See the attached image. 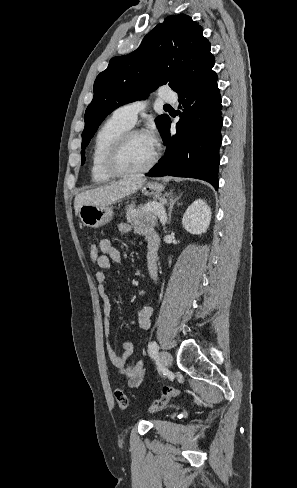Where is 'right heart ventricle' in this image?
<instances>
[{
    "instance_id": "e07e8e85",
    "label": "right heart ventricle",
    "mask_w": 297,
    "mask_h": 488,
    "mask_svg": "<svg viewBox=\"0 0 297 488\" xmlns=\"http://www.w3.org/2000/svg\"><path fill=\"white\" fill-rule=\"evenodd\" d=\"M131 126L122 121L115 113L105 121L97 132L91 149V177L96 183H104L114 178L106 168V157L111 145Z\"/></svg>"
}]
</instances>
